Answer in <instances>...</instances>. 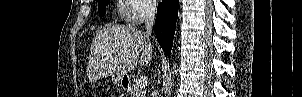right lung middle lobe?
I'll return each mask as SVG.
<instances>
[{"mask_svg": "<svg viewBox=\"0 0 302 97\" xmlns=\"http://www.w3.org/2000/svg\"><path fill=\"white\" fill-rule=\"evenodd\" d=\"M110 0H99L98 1V12L99 16L102 17L105 14L106 6L109 4Z\"/></svg>", "mask_w": 302, "mask_h": 97, "instance_id": "dd1d6c3e", "label": "right lung middle lobe"}]
</instances>
